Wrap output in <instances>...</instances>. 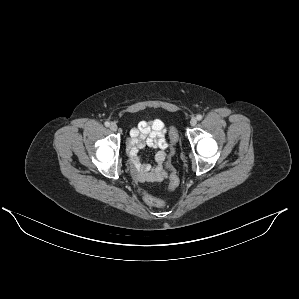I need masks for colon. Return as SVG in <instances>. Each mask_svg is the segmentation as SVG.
<instances>
[{"label":"colon","instance_id":"obj_1","mask_svg":"<svg viewBox=\"0 0 299 299\" xmlns=\"http://www.w3.org/2000/svg\"><path fill=\"white\" fill-rule=\"evenodd\" d=\"M170 140H171V143H174L177 140V133H176L175 129H172L170 132ZM178 184H179L178 177H177L176 173L174 171H172L171 180L169 183V190H171V191L175 190L177 188ZM144 200L151 207L164 208L166 206V203L162 199H159L150 193L145 194Z\"/></svg>","mask_w":299,"mask_h":299}]
</instances>
